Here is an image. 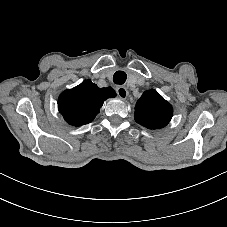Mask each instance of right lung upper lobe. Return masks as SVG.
<instances>
[{
	"instance_id": "1",
	"label": "right lung upper lobe",
	"mask_w": 227,
	"mask_h": 227,
	"mask_svg": "<svg viewBox=\"0 0 227 227\" xmlns=\"http://www.w3.org/2000/svg\"><path fill=\"white\" fill-rule=\"evenodd\" d=\"M111 88H99L91 80H84L78 86L64 91L58 99V109L66 122L73 126H81L91 122L103 102L115 97Z\"/></svg>"
}]
</instances>
